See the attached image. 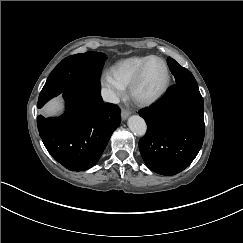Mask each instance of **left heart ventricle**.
Listing matches in <instances>:
<instances>
[{
    "instance_id": "1",
    "label": "left heart ventricle",
    "mask_w": 243,
    "mask_h": 243,
    "mask_svg": "<svg viewBox=\"0 0 243 243\" xmlns=\"http://www.w3.org/2000/svg\"><path fill=\"white\" fill-rule=\"evenodd\" d=\"M167 80V72L164 65L154 61L149 66L145 78L137 90L139 98L147 99L155 96L162 90Z\"/></svg>"
}]
</instances>
